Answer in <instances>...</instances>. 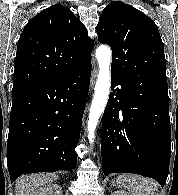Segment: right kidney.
<instances>
[{
	"label": "right kidney",
	"mask_w": 178,
	"mask_h": 195,
	"mask_svg": "<svg viewBox=\"0 0 178 195\" xmlns=\"http://www.w3.org/2000/svg\"><path fill=\"white\" fill-rule=\"evenodd\" d=\"M30 195H62V188L58 184H47L32 192Z\"/></svg>",
	"instance_id": "obj_1"
}]
</instances>
